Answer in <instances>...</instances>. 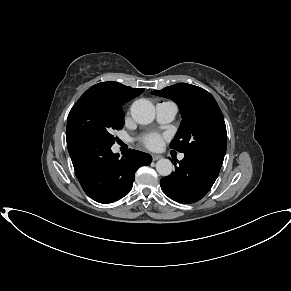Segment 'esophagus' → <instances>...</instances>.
Returning a JSON list of instances; mask_svg holds the SVG:
<instances>
[{
	"label": "esophagus",
	"instance_id": "34e87169",
	"mask_svg": "<svg viewBox=\"0 0 291 291\" xmlns=\"http://www.w3.org/2000/svg\"><path fill=\"white\" fill-rule=\"evenodd\" d=\"M161 158H162L161 155H157V154H153V155H152V159H153V161L159 160V159H161Z\"/></svg>",
	"mask_w": 291,
	"mask_h": 291
}]
</instances>
